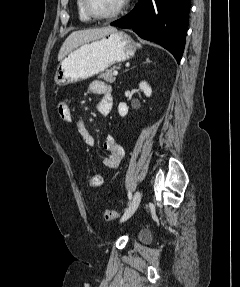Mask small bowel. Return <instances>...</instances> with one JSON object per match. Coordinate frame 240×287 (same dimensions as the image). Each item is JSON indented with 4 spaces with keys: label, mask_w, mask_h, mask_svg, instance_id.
Listing matches in <instances>:
<instances>
[{
    "label": "small bowel",
    "mask_w": 240,
    "mask_h": 287,
    "mask_svg": "<svg viewBox=\"0 0 240 287\" xmlns=\"http://www.w3.org/2000/svg\"><path fill=\"white\" fill-rule=\"evenodd\" d=\"M90 91L101 97L96 105L97 111L101 115H107L113 104L111 87L103 81L96 80L90 84ZM57 111L65 122L75 124L86 145H94V138L85 123L80 117H74L72 109L65 100L58 103ZM103 149L108 152V155L102 159L103 166L109 169H116L125 155L123 147L118 144L112 136H107L103 142Z\"/></svg>",
    "instance_id": "small-bowel-1"
}]
</instances>
